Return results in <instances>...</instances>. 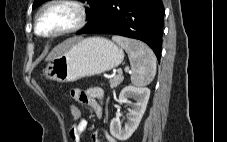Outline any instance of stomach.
<instances>
[{"label": "stomach", "instance_id": "obj_1", "mask_svg": "<svg viewBox=\"0 0 227 142\" xmlns=\"http://www.w3.org/2000/svg\"><path fill=\"white\" fill-rule=\"evenodd\" d=\"M123 58V50L106 38L80 39L54 58L44 75L60 83L74 82L109 71L119 66Z\"/></svg>", "mask_w": 227, "mask_h": 142}]
</instances>
